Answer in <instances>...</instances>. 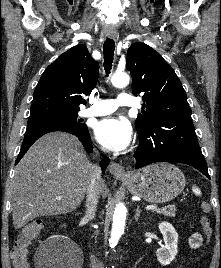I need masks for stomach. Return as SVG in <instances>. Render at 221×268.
<instances>
[{"mask_svg":"<svg viewBox=\"0 0 221 268\" xmlns=\"http://www.w3.org/2000/svg\"><path fill=\"white\" fill-rule=\"evenodd\" d=\"M122 181L133 195L152 203L171 201L183 191L186 183L182 171L170 163L149 165Z\"/></svg>","mask_w":221,"mask_h":268,"instance_id":"0dacf381","label":"stomach"}]
</instances>
